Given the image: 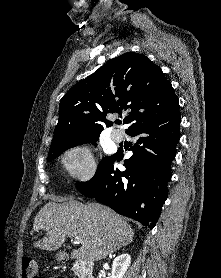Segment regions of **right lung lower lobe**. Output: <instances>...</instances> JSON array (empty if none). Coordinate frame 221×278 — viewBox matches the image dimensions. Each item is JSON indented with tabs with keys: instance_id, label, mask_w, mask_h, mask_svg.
Wrapping results in <instances>:
<instances>
[{
	"instance_id": "1",
	"label": "right lung lower lobe",
	"mask_w": 221,
	"mask_h": 278,
	"mask_svg": "<svg viewBox=\"0 0 221 278\" xmlns=\"http://www.w3.org/2000/svg\"><path fill=\"white\" fill-rule=\"evenodd\" d=\"M180 119L178 109L131 128L127 134L138 140L130 148L133 155L124 160L126 169H114V161L123 156L117 152L89 184L78 189L80 193L152 229L168 196L170 165L180 139Z\"/></svg>"
}]
</instances>
